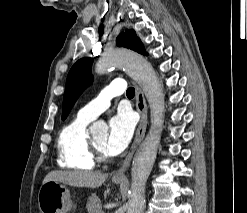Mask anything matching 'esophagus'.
<instances>
[{"mask_svg":"<svg viewBox=\"0 0 247 213\" xmlns=\"http://www.w3.org/2000/svg\"><path fill=\"white\" fill-rule=\"evenodd\" d=\"M135 89H136V108L140 115V122H139L136 135H135L134 141L132 143V146H131V149L128 155L123 161L122 166L113 173V178H117V179L125 177V171L129 167L133 154L135 150L137 149L138 145L143 140L145 132H146V127H147V122H148L146 100H145L143 92L141 91L138 85H135Z\"/></svg>","mask_w":247,"mask_h":213,"instance_id":"1","label":"esophagus"}]
</instances>
